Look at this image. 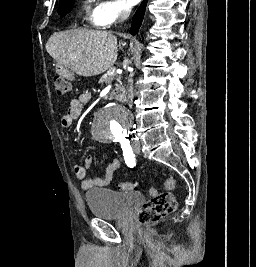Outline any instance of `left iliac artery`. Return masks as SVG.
I'll return each mask as SVG.
<instances>
[{
	"label": "left iliac artery",
	"mask_w": 256,
	"mask_h": 267,
	"mask_svg": "<svg viewBox=\"0 0 256 267\" xmlns=\"http://www.w3.org/2000/svg\"><path fill=\"white\" fill-rule=\"evenodd\" d=\"M119 141L121 143V147L123 150V156H124L125 163L131 168L134 167L136 165L135 155L133 154V151H132V148L129 144V141H127L125 139H119Z\"/></svg>",
	"instance_id": "1"
}]
</instances>
